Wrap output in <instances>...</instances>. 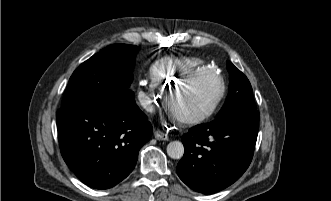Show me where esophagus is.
Instances as JSON below:
<instances>
[{
	"mask_svg": "<svg viewBox=\"0 0 331 201\" xmlns=\"http://www.w3.org/2000/svg\"><path fill=\"white\" fill-rule=\"evenodd\" d=\"M154 137L157 139V140H168V135L165 134L164 132L160 131V130H156L154 132Z\"/></svg>",
	"mask_w": 331,
	"mask_h": 201,
	"instance_id": "34e87169",
	"label": "esophagus"
}]
</instances>
